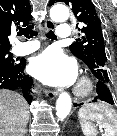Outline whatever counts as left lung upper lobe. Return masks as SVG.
<instances>
[{
	"label": "left lung upper lobe",
	"instance_id": "left-lung-upper-lobe-1",
	"mask_svg": "<svg viewBox=\"0 0 117 136\" xmlns=\"http://www.w3.org/2000/svg\"><path fill=\"white\" fill-rule=\"evenodd\" d=\"M58 1L72 7L78 21L77 28L79 24L81 26L79 30L85 34L78 39L79 42L70 46L71 52L89 67L98 80L110 84L108 72L105 69L107 57L101 22L93 3L90 0H50L49 5Z\"/></svg>",
	"mask_w": 117,
	"mask_h": 136
}]
</instances>
